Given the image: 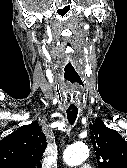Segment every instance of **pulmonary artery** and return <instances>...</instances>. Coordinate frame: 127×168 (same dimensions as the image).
I'll use <instances>...</instances> for the list:
<instances>
[{
  "label": "pulmonary artery",
  "instance_id": "pulmonary-artery-1",
  "mask_svg": "<svg viewBox=\"0 0 127 168\" xmlns=\"http://www.w3.org/2000/svg\"><path fill=\"white\" fill-rule=\"evenodd\" d=\"M79 168H91V166L87 165V164H84V165L79 166Z\"/></svg>",
  "mask_w": 127,
  "mask_h": 168
}]
</instances>
